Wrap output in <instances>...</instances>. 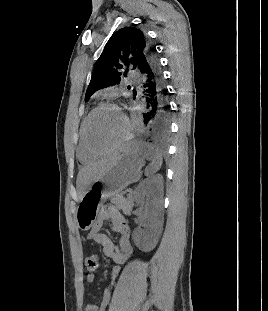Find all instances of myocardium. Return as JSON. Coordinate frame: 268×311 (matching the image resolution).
Here are the masks:
<instances>
[{
  "instance_id": "myocardium-1",
  "label": "myocardium",
  "mask_w": 268,
  "mask_h": 311,
  "mask_svg": "<svg viewBox=\"0 0 268 311\" xmlns=\"http://www.w3.org/2000/svg\"><path fill=\"white\" fill-rule=\"evenodd\" d=\"M104 108H113L115 110H117L121 115L122 118L124 120V132L122 134V136L119 138V140L110 148L103 150V151H99L96 150L90 143L89 141V135H88V131H89V125H90V121L92 119V117L101 109ZM130 135V122H129V118L128 116L123 112V110L118 107L116 104L111 103V102H104L99 104L98 106H96L86 117V119L84 120V124H83V140H84V144L86 149L93 155L95 156H103L106 155L108 153H111L113 151H115L116 149H118L128 138Z\"/></svg>"
}]
</instances>
